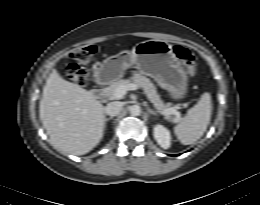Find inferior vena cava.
I'll use <instances>...</instances> for the list:
<instances>
[{"mask_svg": "<svg viewBox=\"0 0 260 205\" xmlns=\"http://www.w3.org/2000/svg\"><path fill=\"white\" fill-rule=\"evenodd\" d=\"M121 109H122L121 102L114 101L107 104V106L105 107V113L113 117L118 115Z\"/></svg>", "mask_w": 260, "mask_h": 205, "instance_id": "1", "label": "inferior vena cava"}]
</instances>
